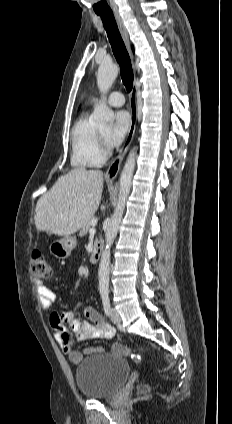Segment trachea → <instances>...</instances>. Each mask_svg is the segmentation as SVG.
Listing matches in <instances>:
<instances>
[{
    "label": "trachea",
    "instance_id": "1",
    "mask_svg": "<svg viewBox=\"0 0 232 424\" xmlns=\"http://www.w3.org/2000/svg\"><path fill=\"white\" fill-rule=\"evenodd\" d=\"M102 19L103 26L107 32L109 42L115 58L120 65V72L123 84L128 92L133 88V70L129 54L126 50L123 39L120 35L118 26L116 24L112 12H99L97 13Z\"/></svg>",
    "mask_w": 232,
    "mask_h": 424
}]
</instances>
